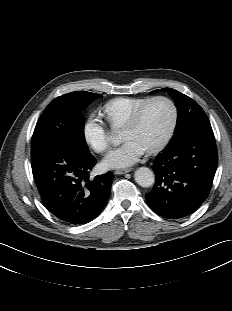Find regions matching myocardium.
<instances>
[{"label": "myocardium", "instance_id": "obj_1", "mask_svg": "<svg viewBox=\"0 0 232 311\" xmlns=\"http://www.w3.org/2000/svg\"><path fill=\"white\" fill-rule=\"evenodd\" d=\"M157 101L167 102L171 108L172 116H171V121H170L169 127H168L165 135L162 137V139L157 144H155L154 146L147 149V151L149 153H155V152H158L161 149H163L173 136V133L175 131L177 121H178V109H177V106L174 103V101L172 99L166 97V96H155V97L148 99L133 113L131 118L128 120V122L123 127V130L124 129H132V128L136 127L139 124V122L141 121V119H142L144 113L146 112V110L148 109V107Z\"/></svg>", "mask_w": 232, "mask_h": 311}]
</instances>
